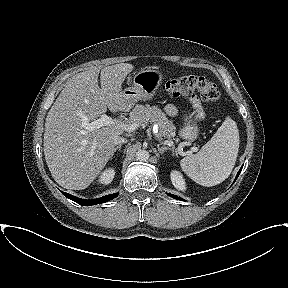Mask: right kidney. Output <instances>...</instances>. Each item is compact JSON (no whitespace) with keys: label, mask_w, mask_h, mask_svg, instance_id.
Returning <instances> with one entry per match:
<instances>
[{"label":"right kidney","mask_w":288,"mask_h":288,"mask_svg":"<svg viewBox=\"0 0 288 288\" xmlns=\"http://www.w3.org/2000/svg\"><path fill=\"white\" fill-rule=\"evenodd\" d=\"M114 175H115V170L113 168H108L101 174L98 181L101 184L107 185L112 182Z\"/></svg>","instance_id":"obj_1"}]
</instances>
